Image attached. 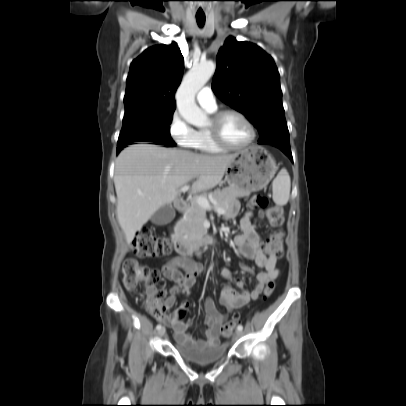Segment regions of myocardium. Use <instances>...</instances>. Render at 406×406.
I'll return each mask as SVG.
<instances>
[{
	"instance_id": "f54148a6",
	"label": "myocardium",
	"mask_w": 406,
	"mask_h": 406,
	"mask_svg": "<svg viewBox=\"0 0 406 406\" xmlns=\"http://www.w3.org/2000/svg\"><path fill=\"white\" fill-rule=\"evenodd\" d=\"M227 114H234L238 116L249 128L250 130V137L246 143L243 145L235 146V145H230L224 141L221 135L220 131V123L223 117ZM207 131L209 132L213 142L219 146L220 148L224 150H232V151H237V150H243L251 146L254 141L256 140V129L251 122V120L241 111L234 109V108H225L221 109L218 111H215L210 118V124L207 127Z\"/></svg>"
}]
</instances>
